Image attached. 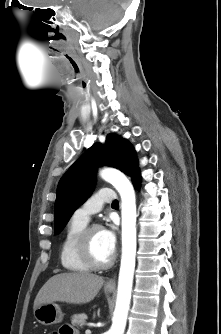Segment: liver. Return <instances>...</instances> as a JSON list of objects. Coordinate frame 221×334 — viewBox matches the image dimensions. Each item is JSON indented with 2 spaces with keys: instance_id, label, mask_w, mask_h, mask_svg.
I'll return each instance as SVG.
<instances>
[{
  "instance_id": "1",
  "label": "liver",
  "mask_w": 221,
  "mask_h": 334,
  "mask_svg": "<svg viewBox=\"0 0 221 334\" xmlns=\"http://www.w3.org/2000/svg\"><path fill=\"white\" fill-rule=\"evenodd\" d=\"M104 279L91 273H61L51 277L38 292L34 310L56 301L85 304L92 301L103 286Z\"/></svg>"
}]
</instances>
